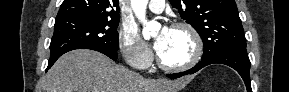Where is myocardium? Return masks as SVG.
<instances>
[{
    "mask_svg": "<svg viewBox=\"0 0 289 92\" xmlns=\"http://www.w3.org/2000/svg\"><path fill=\"white\" fill-rule=\"evenodd\" d=\"M172 29H182L189 33L194 43V54L188 62L181 64V65L167 64L166 62L163 61V59L158 54L157 63L160 68L166 71H170V72H182V71L189 70L193 68L194 66H196L202 58L203 50H204L202 38L199 32L196 30V28L187 22H175L172 24Z\"/></svg>",
    "mask_w": 289,
    "mask_h": 92,
    "instance_id": "obj_1",
    "label": "myocardium"
}]
</instances>
